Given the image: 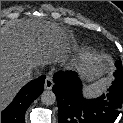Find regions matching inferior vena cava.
Instances as JSON below:
<instances>
[{
  "instance_id": "inferior-vena-cava-1",
  "label": "inferior vena cava",
  "mask_w": 123,
  "mask_h": 123,
  "mask_svg": "<svg viewBox=\"0 0 123 123\" xmlns=\"http://www.w3.org/2000/svg\"><path fill=\"white\" fill-rule=\"evenodd\" d=\"M34 67H35V66H31V67H29V68L24 72L23 77H24L25 79L31 80V79L34 77V75H33V68H34Z\"/></svg>"
}]
</instances>
